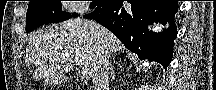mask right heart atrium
<instances>
[{"mask_svg": "<svg viewBox=\"0 0 216 90\" xmlns=\"http://www.w3.org/2000/svg\"><path fill=\"white\" fill-rule=\"evenodd\" d=\"M70 12H83L88 9L90 2L88 0H77V2H67Z\"/></svg>", "mask_w": 216, "mask_h": 90, "instance_id": "1", "label": "right heart atrium"}]
</instances>
